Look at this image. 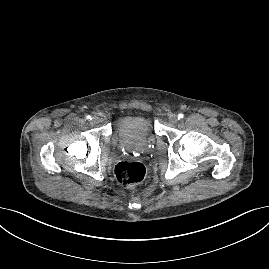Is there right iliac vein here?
Returning <instances> with one entry per match:
<instances>
[{"label": "right iliac vein", "mask_w": 269, "mask_h": 269, "mask_svg": "<svg viewBox=\"0 0 269 269\" xmlns=\"http://www.w3.org/2000/svg\"><path fill=\"white\" fill-rule=\"evenodd\" d=\"M91 120L93 124H98L100 122V119L97 116H94Z\"/></svg>", "instance_id": "63e3f726"}]
</instances>
